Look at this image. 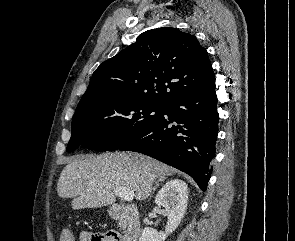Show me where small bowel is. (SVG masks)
I'll use <instances>...</instances> for the list:
<instances>
[{
	"mask_svg": "<svg viewBox=\"0 0 295 241\" xmlns=\"http://www.w3.org/2000/svg\"><path fill=\"white\" fill-rule=\"evenodd\" d=\"M80 241H124V238L116 232L92 233L84 231L80 235Z\"/></svg>",
	"mask_w": 295,
	"mask_h": 241,
	"instance_id": "obj_1",
	"label": "small bowel"
}]
</instances>
